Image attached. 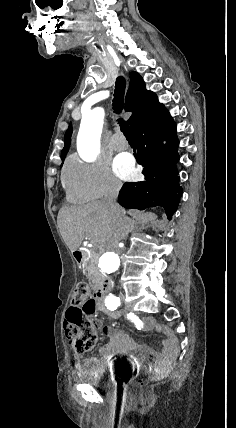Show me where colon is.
Listing matches in <instances>:
<instances>
[{
    "instance_id": "obj_1",
    "label": "colon",
    "mask_w": 236,
    "mask_h": 428,
    "mask_svg": "<svg viewBox=\"0 0 236 428\" xmlns=\"http://www.w3.org/2000/svg\"><path fill=\"white\" fill-rule=\"evenodd\" d=\"M97 308V301L90 296L86 282L76 284L71 306L66 312L64 330L69 344L78 353L91 351L96 345V332L91 315Z\"/></svg>"
}]
</instances>
